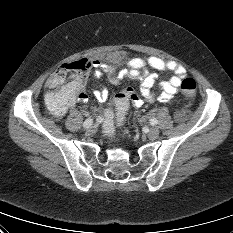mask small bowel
Here are the masks:
<instances>
[{
    "instance_id": "1",
    "label": "small bowel",
    "mask_w": 233,
    "mask_h": 233,
    "mask_svg": "<svg viewBox=\"0 0 233 233\" xmlns=\"http://www.w3.org/2000/svg\"><path fill=\"white\" fill-rule=\"evenodd\" d=\"M91 65L105 73L113 85H119L124 78L139 80L140 95L132 87L124 91L129 104L135 108H140L144 103L154 102L153 87L159 78L157 72L173 73L168 80L159 83L160 93L158 100L163 103L170 101L174 97L186 76V69L182 65L174 61H166L157 56L127 59L121 52H112L103 59H93ZM148 67L157 72L148 71ZM45 86L49 89L45 95L47 109L57 118L63 117L77 102H88L86 78L79 83L58 87L52 83L51 75L47 79ZM93 94L100 102L106 101L109 97V92L106 88L94 90Z\"/></svg>"
}]
</instances>
